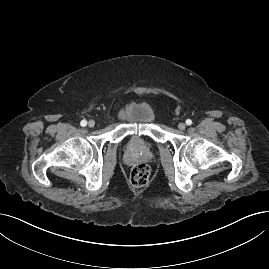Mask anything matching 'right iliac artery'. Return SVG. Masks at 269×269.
<instances>
[{"label": "right iliac artery", "mask_w": 269, "mask_h": 269, "mask_svg": "<svg viewBox=\"0 0 269 269\" xmlns=\"http://www.w3.org/2000/svg\"><path fill=\"white\" fill-rule=\"evenodd\" d=\"M80 125L82 126V127H85L86 125H87V121L84 119V120H82L81 122H80Z\"/></svg>", "instance_id": "82829eb1"}]
</instances>
